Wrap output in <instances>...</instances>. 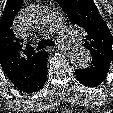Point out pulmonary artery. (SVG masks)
Returning a JSON list of instances; mask_svg holds the SVG:
<instances>
[{
	"label": "pulmonary artery",
	"instance_id": "1",
	"mask_svg": "<svg viewBox=\"0 0 113 113\" xmlns=\"http://www.w3.org/2000/svg\"><path fill=\"white\" fill-rule=\"evenodd\" d=\"M50 28L52 30H59L63 33V36L61 37V40L66 43L67 45L76 44L75 36L73 33H69L62 23V20L56 13H52L50 15Z\"/></svg>",
	"mask_w": 113,
	"mask_h": 113
}]
</instances>
